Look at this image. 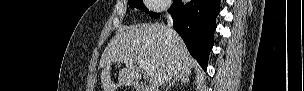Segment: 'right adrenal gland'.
Instances as JSON below:
<instances>
[{"label": "right adrenal gland", "instance_id": "obj_1", "mask_svg": "<svg viewBox=\"0 0 304 91\" xmlns=\"http://www.w3.org/2000/svg\"><path fill=\"white\" fill-rule=\"evenodd\" d=\"M176 82H181V83H189V76L187 74H181L180 76L176 77L175 80L168 86L167 89H170Z\"/></svg>", "mask_w": 304, "mask_h": 91}]
</instances>
